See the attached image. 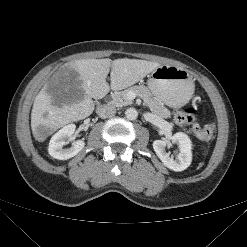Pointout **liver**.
Returning <instances> with one entry per match:
<instances>
[{
  "label": "liver",
  "instance_id": "liver-1",
  "mask_svg": "<svg viewBox=\"0 0 247 247\" xmlns=\"http://www.w3.org/2000/svg\"><path fill=\"white\" fill-rule=\"evenodd\" d=\"M157 62L139 59H81L66 63L64 67L78 73L81 92L70 103L55 105L43 87L36 96L31 112V127L35 137L43 140L66 124L82 120L92 114L94 99L103 98L109 90H122L134 85L154 69ZM111 69V72H110ZM110 72V86L106 78ZM48 133L41 135L40 129Z\"/></svg>",
  "mask_w": 247,
  "mask_h": 247
}]
</instances>
